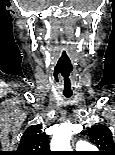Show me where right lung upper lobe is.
Segmentation results:
<instances>
[{
	"label": "right lung upper lobe",
	"mask_w": 115,
	"mask_h": 155,
	"mask_svg": "<svg viewBox=\"0 0 115 155\" xmlns=\"http://www.w3.org/2000/svg\"><path fill=\"white\" fill-rule=\"evenodd\" d=\"M48 136L40 125H32L23 133L15 155H51Z\"/></svg>",
	"instance_id": "obj_1"
}]
</instances>
